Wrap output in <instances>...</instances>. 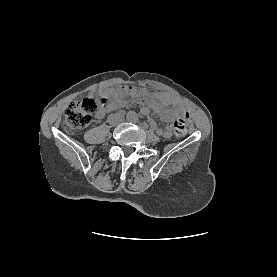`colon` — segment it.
<instances>
[{
	"mask_svg": "<svg viewBox=\"0 0 277 277\" xmlns=\"http://www.w3.org/2000/svg\"><path fill=\"white\" fill-rule=\"evenodd\" d=\"M107 99L104 97L98 100H93L90 98H79L73 101L67 108L63 127L65 131L73 133L86 127L95 111L98 107H103L107 104ZM173 136L176 139H181L186 134V123L183 119L176 120L172 125Z\"/></svg>",
	"mask_w": 277,
	"mask_h": 277,
	"instance_id": "1",
	"label": "colon"
}]
</instances>
